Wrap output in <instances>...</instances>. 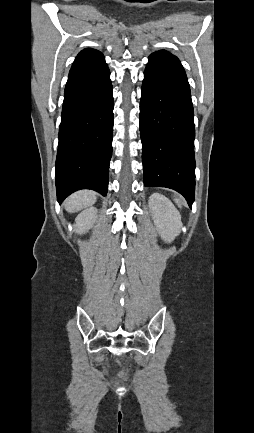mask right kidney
<instances>
[{
  "label": "right kidney",
  "instance_id": "1",
  "mask_svg": "<svg viewBox=\"0 0 254 433\" xmlns=\"http://www.w3.org/2000/svg\"><path fill=\"white\" fill-rule=\"evenodd\" d=\"M97 218V210L94 208L87 209L80 213L75 219L74 230L77 233H84L90 229Z\"/></svg>",
  "mask_w": 254,
  "mask_h": 433
}]
</instances>
